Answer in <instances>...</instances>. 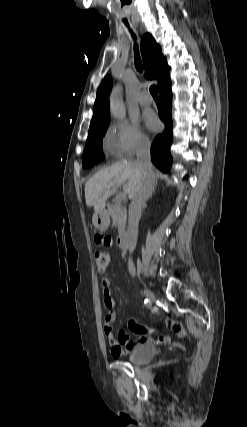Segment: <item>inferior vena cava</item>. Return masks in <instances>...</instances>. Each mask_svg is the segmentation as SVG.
Masks as SVG:
<instances>
[{"label":"inferior vena cava","mask_w":247,"mask_h":427,"mask_svg":"<svg viewBox=\"0 0 247 427\" xmlns=\"http://www.w3.org/2000/svg\"><path fill=\"white\" fill-rule=\"evenodd\" d=\"M151 143L147 139L140 141L137 148V164L142 170L143 178L137 193L134 195L129 206V219L127 236L129 241V252L133 253L137 236L138 224L142 213V208L146 205V201L152 195L155 186V174L150 159ZM128 269L130 273H134V264L131 258L128 260Z\"/></svg>","instance_id":"602c4592"}]
</instances>
